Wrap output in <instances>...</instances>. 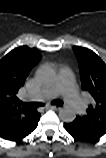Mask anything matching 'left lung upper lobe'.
<instances>
[{"mask_svg":"<svg viewBox=\"0 0 106 158\" xmlns=\"http://www.w3.org/2000/svg\"><path fill=\"white\" fill-rule=\"evenodd\" d=\"M82 82V89L94 98L87 112L72 122L91 139L106 131V64L93 51L75 46Z\"/></svg>","mask_w":106,"mask_h":158,"instance_id":"obj_1","label":"left lung upper lobe"}]
</instances>
